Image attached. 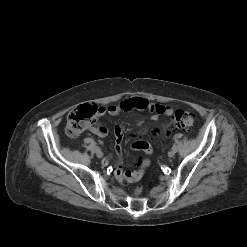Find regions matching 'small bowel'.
Masks as SVG:
<instances>
[{"label": "small bowel", "mask_w": 247, "mask_h": 247, "mask_svg": "<svg viewBox=\"0 0 247 247\" xmlns=\"http://www.w3.org/2000/svg\"><path fill=\"white\" fill-rule=\"evenodd\" d=\"M132 110H149L152 112L151 120L157 121L161 115L171 116L173 114V108L170 106H165L162 104H157L151 102L143 97H132L126 98L115 105H110L108 107H100L98 111V116H103L106 113L110 115H118L121 112H129ZM142 125V122L139 123ZM90 131L99 136L105 137L108 134L107 128L103 126H90ZM115 135V156L117 159L114 175L117 181L123 185L136 182L141 179L144 169L149 165L150 161L148 159H139L138 170L130 171L125 170L122 167V139H123V129L121 125H116L114 127ZM132 149L144 151L146 154L150 155L152 153L151 146L144 140H137L132 144ZM104 165L109 164L108 159H104Z\"/></svg>", "instance_id": "small-bowel-1"}]
</instances>
